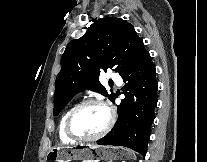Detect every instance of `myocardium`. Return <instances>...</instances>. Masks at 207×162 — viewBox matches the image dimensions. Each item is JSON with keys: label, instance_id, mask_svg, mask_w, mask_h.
Listing matches in <instances>:
<instances>
[{"label": "myocardium", "instance_id": "1", "mask_svg": "<svg viewBox=\"0 0 207 162\" xmlns=\"http://www.w3.org/2000/svg\"><path fill=\"white\" fill-rule=\"evenodd\" d=\"M92 104L101 105L107 110V113H108L107 123H106L104 129L101 132H99L98 134L91 135V136L78 135L72 130V122L79 112H81L84 108H86L87 106L92 105ZM114 120H115V111L107 101H105L104 99L99 98V97L90 98V99H87V100L81 102L80 104H78L76 107H74L71 110V112L69 113V115L67 116V118L65 120L64 132H65V135L69 139H72V140H79V141L97 140V139H100L103 136H105L111 130V128L114 124Z\"/></svg>", "mask_w": 207, "mask_h": 162}]
</instances>
